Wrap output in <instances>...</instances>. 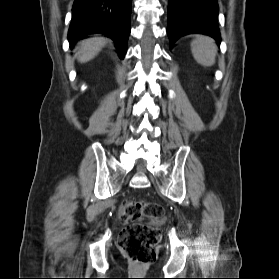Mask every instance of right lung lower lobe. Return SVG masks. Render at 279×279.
<instances>
[{
	"instance_id": "98d812e1",
	"label": "right lung lower lobe",
	"mask_w": 279,
	"mask_h": 279,
	"mask_svg": "<svg viewBox=\"0 0 279 279\" xmlns=\"http://www.w3.org/2000/svg\"><path fill=\"white\" fill-rule=\"evenodd\" d=\"M131 3L132 0H75L68 31L70 45L83 35L103 33L115 41L119 57L123 59L131 31Z\"/></svg>"
}]
</instances>
